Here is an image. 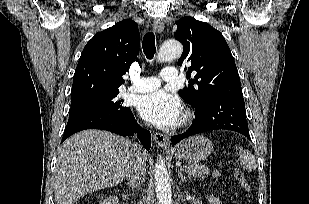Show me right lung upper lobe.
<instances>
[{
  "label": "right lung upper lobe",
  "instance_id": "obj_1",
  "mask_svg": "<svg viewBox=\"0 0 309 204\" xmlns=\"http://www.w3.org/2000/svg\"><path fill=\"white\" fill-rule=\"evenodd\" d=\"M138 25L130 19L98 32L84 47L77 64L71 104L119 91L122 75L139 52Z\"/></svg>",
  "mask_w": 309,
  "mask_h": 204
}]
</instances>
